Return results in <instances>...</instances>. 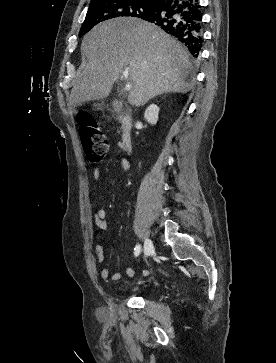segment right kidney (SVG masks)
Returning a JSON list of instances; mask_svg holds the SVG:
<instances>
[{"label": "right kidney", "instance_id": "obj_1", "mask_svg": "<svg viewBox=\"0 0 276 363\" xmlns=\"http://www.w3.org/2000/svg\"><path fill=\"white\" fill-rule=\"evenodd\" d=\"M158 114H159V107L155 104H151L145 110L144 118L151 125H155L158 121Z\"/></svg>", "mask_w": 276, "mask_h": 363}]
</instances>
